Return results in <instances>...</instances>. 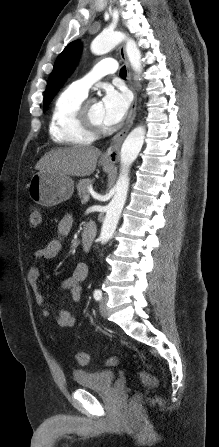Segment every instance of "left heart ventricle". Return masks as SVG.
I'll return each instance as SVG.
<instances>
[{
  "label": "left heart ventricle",
  "instance_id": "1",
  "mask_svg": "<svg viewBox=\"0 0 219 447\" xmlns=\"http://www.w3.org/2000/svg\"><path fill=\"white\" fill-rule=\"evenodd\" d=\"M90 113L92 119L99 124H103V110L101 103L99 102H92L90 104Z\"/></svg>",
  "mask_w": 219,
  "mask_h": 447
}]
</instances>
